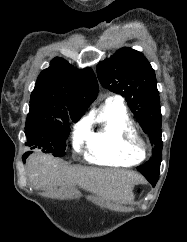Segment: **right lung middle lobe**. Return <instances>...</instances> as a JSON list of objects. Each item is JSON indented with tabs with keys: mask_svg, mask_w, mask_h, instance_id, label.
I'll use <instances>...</instances> for the list:
<instances>
[{
	"mask_svg": "<svg viewBox=\"0 0 187 242\" xmlns=\"http://www.w3.org/2000/svg\"><path fill=\"white\" fill-rule=\"evenodd\" d=\"M69 116L77 121L76 114H36L29 113L25 124L26 146L39 148L55 157L65 155L66 140L70 132Z\"/></svg>",
	"mask_w": 187,
	"mask_h": 242,
	"instance_id": "1",
	"label": "right lung middle lobe"
}]
</instances>
